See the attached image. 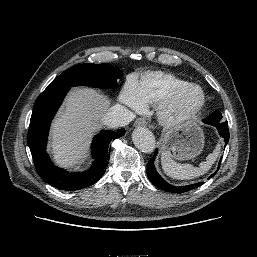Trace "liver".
I'll return each instance as SVG.
<instances>
[{
  "mask_svg": "<svg viewBox=\"0 0 257 257\" xmlns=\"http://www.w3.org/2000/svg\"><path fill=\"white\" fill-rule=\"evenodd\" d=\"M109 105V98L92 88H75L69 93L51 128L50 146L58 165H72L85 157Z\"/></svg>",
  "mask_w": 257,
  "mask_h": 257,
  "instance_id": "1",
  "label": "liver"
}]
</instances>
